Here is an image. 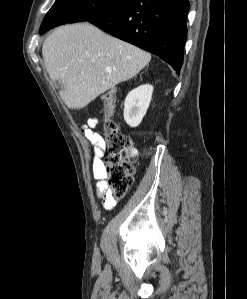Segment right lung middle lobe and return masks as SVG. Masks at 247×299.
I'll use <instances>...</instances> for the list:
<instances>
[{
  "mask_svg": "<svg viewBox=\"0 0 247 299\" xmlns=\"http://www.w3.org/2000/svg\"><path fill=\"white\" fill-rule=\"evenodd\" d=\"M129 0H56L40 27V33L55 26L103 17Z\"/></svg>",
  "mask_w": 247,
  "mask_h": 299,
  "instance_id": "1",
  "label": "right lung middle lobe"
}]
</instances>
